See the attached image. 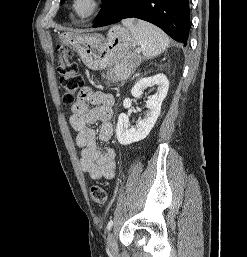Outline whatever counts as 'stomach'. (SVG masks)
Segmentation results:
<instances>
[{
  "label": "stomach",
  "mask_w": 247,
  "mask_h": 257,
  "mask_svg": "<svg viewBox=\"0 0 247 257\" xmlns=\"http://www.w3.org/2000/svg\"><path fill=\"white\" fill-rule=\"evenodd\" d=\"M58 40L77 51L83 63L92 70L104 69L110 65L126 67L125 73H114V80L129 76L138 62V56L131 50L132 37L128 28L113 26L106 37L101 34H61Z\"/></svg>",
  "instance_id": "1"
}]
</instances>
